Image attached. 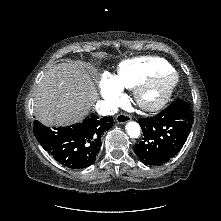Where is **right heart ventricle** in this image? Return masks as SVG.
I'll list each match as a JSON object with an SVG mask.
<instances>
[{
	"label": "right heart ventricle",
	"mask_w": 221,
	"mask_h": 221,
	"mask_svg": "<svg viewBox=\"0 0 221 221\" xmlns=\"http://www.w3.org/2000/svg\"><path fill=\"white\" fill-rule=\"evenodd\" d=\"M165 70H172V67L162 58H134L119 64L114 79L121 88L135 89L152 74Z\"/></svg>",
	"instance_id": "obj_1"
}]
</instances>
